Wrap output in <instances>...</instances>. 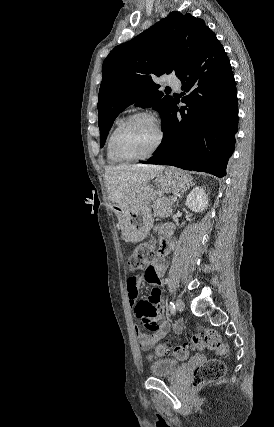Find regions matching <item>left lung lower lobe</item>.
I'll use <instances>...</instances> for the list:
<instances>
[{"instance_id":"0a47b994","label":"left lung lower lobe","mask_w":274,"mask_h":427,"mask_svg":"<svg viewBox=\"0 0 274 427\" xmlns=\"http://www.w3.org/2000/svg\"><path fill=\"white\" fill-rule=\"evenodd\" d=\"M178 78L185 106L171 102L163 119L164 139L154 156L143 163L222 178L234 151L238 104L231 65L216 36L205 42Z\"/></svg>"}]
</instances>
